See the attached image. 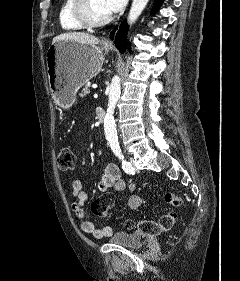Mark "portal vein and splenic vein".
I'll list each match as a JSON object with an SVG mask.
<instances>
[{
	"mask_svg": "<svg viewBox=\"0 0 240 281\" xmlns=\"http://www.w3.org/2000/svg\"><path fill=\"white\" fill-rule=\"evenodd\" d=\"M92 87H93V88H96L97 86L93 85Z\"/></svg>",
	"mask_w": 240,
	"mask_h": 281,
	"instance_id": "1",
	"label": "portal vein and splenic vein"
}]
</instances>
